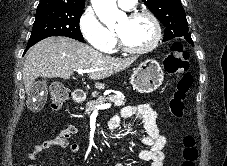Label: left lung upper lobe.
Returning a JSON list of instances; mask_svg holds the SVG:
<instances>
[{"mask_svg": "<svg viewBox=\"0 0 227 166\" xmlns=\"http://www.w3.org/2000/svg\"><path fill=\"white\" fill-rule=\"evenodd\" d=\"M143 2L165 26L163 41L182 37L193 45L188 32L186 15L180 0H143Z\"/></svg>", "mask_w": 227, "mask_h": 166, "instance_id": "1", "label": "left lung upper lobe"}]
</instances>
